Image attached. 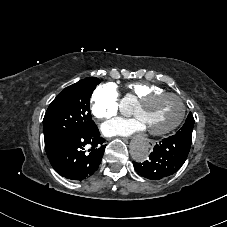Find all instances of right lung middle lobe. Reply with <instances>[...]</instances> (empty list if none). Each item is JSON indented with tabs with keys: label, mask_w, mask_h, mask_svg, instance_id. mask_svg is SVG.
<instances>
[{
	"label": "right lung middle lobe",
	"mask_w": 227,
	"mask_h": 227,
	"mask_svg": "<svg viewBox=\"0 0 227 227\" xmlns=\"http://www.w3.org/2000/svg\"><path fill=\"white\" fill-rule=\"evenodd\" d=\"M100 80L88 77L66 87L49 105L44 119L45 144L69 132L94 125L89 101Z\"/></svg>",
	"instance_id": "obj_1"
}]
</instances>
